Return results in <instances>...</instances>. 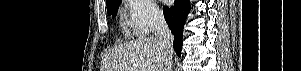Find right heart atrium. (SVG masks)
Listing matches in <instances>:
<instances>
[{"label": "right heart atrium", "mask_w": 301, "mask_h": 71, "mask_svg": "<svg viewBox=\"0 0 301 71\" xmlns=\"http://www.w3.org/2000/svg\"><path fill=\"white\" fill-rule=\"evenodd\" d=\"M128 26L133 34L146 36L161 22L162 16L152 0H127Z\"/></svg>", "instance_id": "1"}]
</instances>
